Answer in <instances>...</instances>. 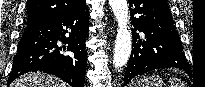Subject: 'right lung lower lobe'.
I'll list each match as a JSON object with an SVG mask.
<instances>
[{
  "label": "right lung lower lobe",
  "mask_w": 205,
  "mask_h": 87,
  "mask_svg": "<svg viewBox=\"0 0 205 87\" xmlns=\"http://www.w3.org/2000/svg\"><path fill=\"white\" fill-rule=\"evenodd\" d=\"M88 18L84 4L64 15L27 24L7 85L24 73L42 71L60 77L72 87H84ZM58 42L64 46L59 47Z\"/></svg>",
  "instance_id": "1"
}]
</instances>
